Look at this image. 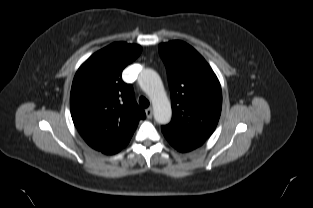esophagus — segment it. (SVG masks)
<instances>
[{"label":"esophagus","instance_id":"34e87169","mask_svg":"<svg viewBox=\"0 0 313 208\" xmlns=\"http://www.w3.org/2000/svg\"><path fill=\"white\" fill-rule=\"evenodd\" d=\"M145 113H146V116H147L148 119H151V118H152V116H153V110H152L151 107H150V108H147V109L145 110Z\"/></svg>","mask_w":313,"mask_h":208}]
</instances>
